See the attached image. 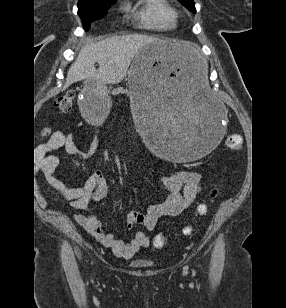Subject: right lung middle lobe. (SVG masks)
I'll return each mask as SVG.
<instances>
[{
    "mask_svg": "<svg viewBox=\"0 0 286 308\" xmlns=\"http://www.w3.org/2000/svg\"><path fill=\"white\" fill-rule=\"evenodd\" d=\"M117 0H81L78 2V15L85 29H89L90 23L107 14L110 5Z\"/></svg>",
    "mask_w": 286,
    "mask_h": 308,
    "instance_id": "dd1d6c3e",
    "label": "right lung middle lobe"
}]
</instances>
